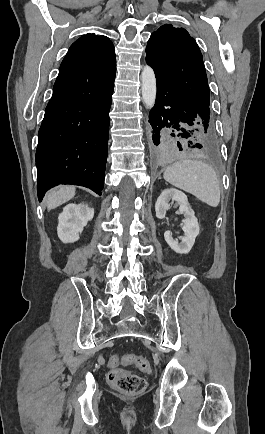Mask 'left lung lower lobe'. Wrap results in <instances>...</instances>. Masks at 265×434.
I'll return each instance as SVG.
<instances>
[{"instance_id":"left-lung-lower-lobe-1","label":"left lung lower lobe","mask_w":265,"mask_h":434,"mask_svg":"<svg viewBox=\"0 0 265 434\" xmlns=\"http://www.w3.org/2000/svg\"><path fill=\"white\" fill-rule=\"evenodd\" d=\"M155 74L157 100L149 114L154 151L157 154L169 155L178 148L183 150L188 147L201 149L203 153H215L219 140L210 112L198 108L165 76L157 71ZM169 132L172 137L191 140L172 141Z\"/></svg>"}]
</instances>
